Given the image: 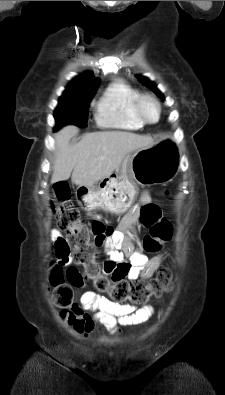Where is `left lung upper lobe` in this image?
<instances>
[{
	"label": "left lung upper lobe",
	"instance_id": "obj_1",
	"mask_svg": "<svg viewBox=\"0 0 225 395\" xmlns=\"http://www.w3.org/2000/svg\"><path fill=\"white\" fill-rule=\"evenodd\" d=\"M139 82H141L142 84H144L145 86H147L148 88H150L156 95H158L161 99L164 100L163 95L160 93V91L156 88V85L149 81L147 78L145 77H137Z\"/></svg>",
	"mask_w": 225,
	"mask_h": 395
}]
</instances>
